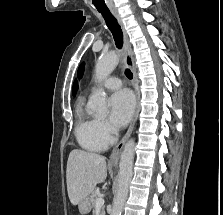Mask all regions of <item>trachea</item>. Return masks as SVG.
Instances as JSON below:
<instances>
[{
    "mask_svg": "<svg viewBox=\"0 0 223 215\" xmlns=\"http://www.w3.org/2000/svg\"><path fill=\"white\" fill-rule=\"evenodd\" d=\"M98 12L102 14L103 18L106 21L107 27L113 34L116 47L118 49H121L122 45H123V33H122V30H121L120 25L118 24L116 18L113 17L112 13L108 9L98 10ZM125 75L130 80L133 78V74H132L131 70H129V68H127L125 70Z\"/></svg>",
    "mask_w": 223,
    "mask_h": 215,
    "instance_id": "3493384b",
    "label": "trachea"
}]
</instances>
